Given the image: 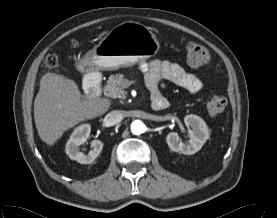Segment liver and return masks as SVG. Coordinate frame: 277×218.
Wrapping results in <instances>:
<instances>
[{
    "instance_id": "6515ba94",
    "label": "liver",
    "mask_w": 277,
    "mask_h": 218,
    "mask_svg": "<svg viewBox=\"0 0 277 218\" xmlns=\"http://www.w3.org/2000/svg\"><path fill=\"white\" fill-rule=\"evenodd\" d=\"M74 80L46 73L34 100V120L38 135L53 145L63 133L79 122L103 115L111 102L106 98L83 101Z\"/></svg>"
}]
</instances>
